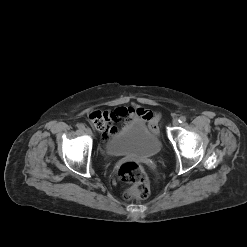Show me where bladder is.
Instances as JSON below:
<instances>
[{"instance_id":"bladder-1","label":"bladder","mask_w":247,"mask_h":247,"mask_svg":"<svg viewBox=\"0 0 247 247\" xmlns=\"http://www.w3.org/2000/svg\"><path fill=\"white\" fill-rule=\"evenodd\" d=\"M160 139L142 122H131L111 136L105 144L110 156L153 157L161 150Z\"/></svg>"}]
</instances>
